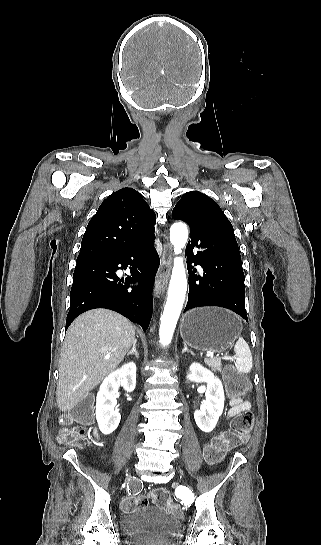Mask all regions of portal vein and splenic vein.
Returning a JSON list of instances; mask_svg holds the SVG:
<instances>
[{
	"label": "portal vein and splenic vein",
	"instance_id": "portal-vein-and-splenic-vein-1",
	"mask_svg": "<svg viewBox=\"0 0 321 545\" xmlns=\"http://www.w3.org/2000/svg\"><path fill=\"white\" fill-rule=\"evenodd\" d=\"M206 356L207 357H213L212 353H206ZM105 361H109V357H108V359H105Z\"/></svg>",
	"mask_w": 321,
	"mask_h": 545
}]
</instances>
